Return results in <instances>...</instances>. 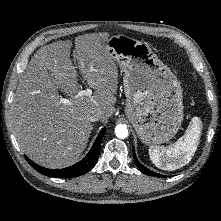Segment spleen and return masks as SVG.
<instances>
[{
	"label": "spleen",
	"instance_id": "obj_1",
	"mask_svg": "<svg viewBox=\"0 0 221 221\" xmlns=\"http://www.w3.org/2000/svg\"><path fill=\"white\" fill-rule=\"evenodd\" d=\"M202 131V121L193 117L185 134L168 148L149 147L153 164L163 170L174 171L188 164L195 154Z\"/></svg>",
	"mask_w": 221,
	"mask_h": 221
}]
</instances>
